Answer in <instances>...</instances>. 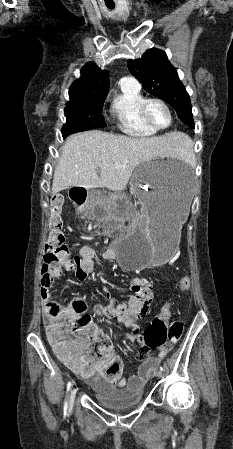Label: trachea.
Returning <instances> with one entry per match:
<instances>
[{
	"label": "trachea",
	"mask_w": 233,
	"mask_h": 449,
	"mask_svg": "<svg viewBox=\"0 0 233 449\" xmlns=\"http://www.w3.org/2000/svg\"><path fill=\"white\" fill-rule=\"evenodd\" d=\"M109 9H113L114 8V6H107Z\"/></svg>",
	"instance_id": "trachea-1"
}]
</instances>
